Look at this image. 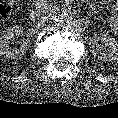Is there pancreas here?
<instances>
[{
	"label": "pancreas",
	"instance_id": "obj_1",
	"mask_svg": "<svg viewBox=\"0 0 118 118\" xmlns=\"http://www.w3.org/2000/svg\"><path fill=\"white\" fill-rule=\"evenodd\" d=\"M38 1H39V3H37L38 7H41L42 10H44L45 12H49L53 8L52 4H48L46 0H38ZM84 7L94 17H96L101 21L109 22L113 18L111 12L103 10L101 7H99L96 3H94L91 0L86 1Z\"/></svg>",
	"mask_w": 118,
	"mask_h": 118
}]
</instances>
